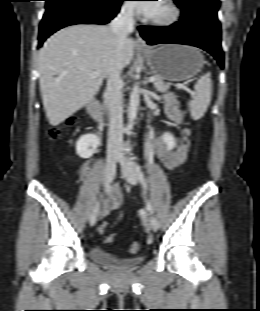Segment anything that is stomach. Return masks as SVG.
Returning <instances> with one entry per match:
<instances>
[{
    "mask_svg": "<svg viewBox=\"0 0 260 311\" xmlns=\"http://www.w3.org/2000/svg\"><path fill=\"white\" fill-rule=\"evenodd\" d=\"M152 73L168 81H184L201 72L204 56L194 47L166 44L142 52Z\"/></svg>",
    "mask_w": 260,
    "mask_h": 311,
    "instance_id": "obj_1",
    "label": "stomach"
}]
</instances>
